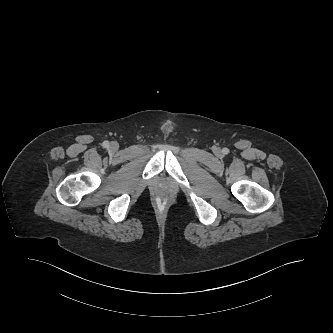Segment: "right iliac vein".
I'll use <instances>...</instances> for the list:
<instances>
[{
	"mask_svg": "<svg viewBox=\"0 0 333 333\" xmlns=\"http://www.w3.org/2000/svg\"><path fill=\"white\" fill-rule=\"evenodd\" d=\"M118 148H119V145H118L117 142H111L110 143V149H111V151H117Z\"/></svg>",
	"mask_w": 333,
	"mask_h": 333,
	"instance_id": "1",
	"label": "right iliac vein"
}]
</instances>
